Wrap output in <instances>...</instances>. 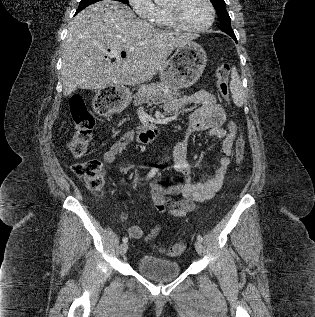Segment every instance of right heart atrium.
<instances>
[{
	"mask_svg": "<svg viewBox=\"0 0 315 317\" xmlns=\"http://www.w3.org/2000/svg\"><path fill=\"white\" fill-rule=\"evenodd\" d=\"M128 2L139 17L152 21L157 10L152 0H128Z\"/></svg>",
	"mask_w": 315,
	"mask_h": 317,
	"instance_id": "obj_1",
	"label": "right heart atrium"
}]
</instances>
